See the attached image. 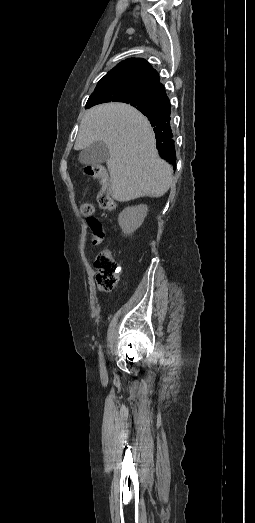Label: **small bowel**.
Returning <instances> with one entry per match:
<instances>
[{"label": "small bowel", "mask_w": 255, "mask_h": 523, "mask_svg": "<svg viewBox=\"0 0 255 523\" xmlns=\"http://www.w3.org/2000/svg\"><path fill=\"white\" fill-rule=\"evenodd\" d=\"M88 226L91 230V243L95 246L100 245L104 239V231L101 222L92 218L87 220Z\"/></svg>", "instance_id": "c3829d8e"}]
</instances>
